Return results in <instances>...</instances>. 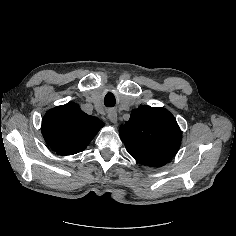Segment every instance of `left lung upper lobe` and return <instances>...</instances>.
<instances>
[{
	"label": "left lung upper lobe",
	"mask_w": 236,
	"mask_h": 236,
	"mask_svg": "<svg viewBox=\"0 0 236 236\" xmlns=\"http://www.w3.org/2000/svg\"><path fill=\"white\" fill-rule=\"evenodd\" d=\"M119 134L129 154L140 164L151 167L170 161L182 140L176 119L168 110L146 105L132 111Z\"/></svg>",
	"instance_id": "1"
}]
</instances>
